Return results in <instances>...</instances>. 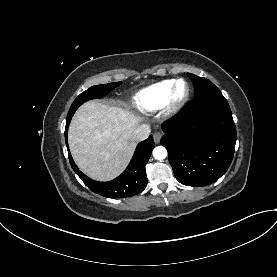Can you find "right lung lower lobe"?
Here are the masks:
<instances>
[{"instance_id": "right-lung-lower-lobe-1", "label": "right lung lower lobe", "mask_w": 277, "mask_h": 277, "mask_svg": "<svg viewBox=\"0 0 277 277\" xmlns=\"http://www.w3.org/2000/svg\"><path fill=\"white\" fill-rule=\"evenodd\" d=\"M71 121V120H70ZM70 121H66L65 140L71 167L85 185L93 192L110 198L129 197L142 192L147 185L145 166L155 147L152 135L138 144L127 169L116 179L109 182H98L84 175L74 163L67 142V132Z\"/></svg>"}]
</instances>
